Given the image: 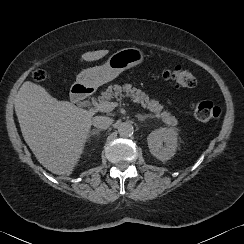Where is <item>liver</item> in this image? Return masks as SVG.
<instances>
[{
    "label": "liver",
    "mask_w": 244,
    "mask_h": 244,
    "mask_svg": "<svg viewBox=\"0 0 244 244\" xmlns=\"http://www.w3.org/2000/svg\"><path fill=\"white\" fill-rule=\"evenodd\" d=\"M108 52H86L81 59L96 61ZM15 111L24 140L39 163L54 174H72L83 153L94 112L58 101L31 81L21 86Z\"/></svg>",
    "instance_id": "6515ba94"
}]
</instances>
